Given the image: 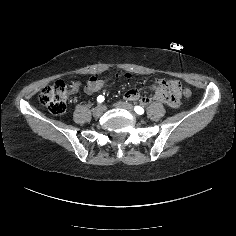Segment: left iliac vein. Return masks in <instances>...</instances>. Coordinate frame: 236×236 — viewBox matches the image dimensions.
Returning <instances> with one entry per match:
<instances>
[{
    "instance_id": "1",
    "label": "left iliac vein",
    "mask_w": 236,
    "mask_h": 236,
    "mask_svg": "<svg viewBox=\"0 0 236 236\" xmlns=\"http://www.w3.org/2000/svg\"><path fill=\"white\" fill-rule=\"evenodd\" d=\"M115 107H116V108L125 109V110H127L129 113H131V115H132L134 118H137V115L134 113V110H133L132 105H130L129 103H125V102L119 101V102H117V103L115 104Z\"/></svg>"
}]
</instances>
